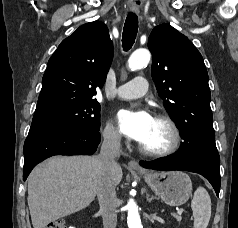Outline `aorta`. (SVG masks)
<instances>
[{"label": "aorta", "instance_id": "762f6f07", "mask_svg": "<svg viewBox=\"0 0 238 228\" xmlns=\"http://www.w3.org/2000/svg\"><path fill=\"white\" fill-rule=\"evenodd\" d=\"M150 57V52L147 49H138L130 56L128 66L132 71L146 67ZM126 208L128 210V228H143L136 202L133 199H129Z\"/></svg>", "mask_w": 238, "mask_h": 228}]
</instances>
